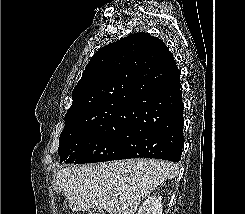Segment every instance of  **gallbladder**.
Masks as SVG:
<instances>
[{
	"mask_svg": "<svg viewBox=\"0 0 245 214\" xmlns=\"http://www.w3.org/2000/svg\"><path fill=\"white\" fill-rule=\"evenodd\" d=\"M89 214H106V211L103 209H93Z\"/></svg>",
	"mask_w": 245,
	"mask_h": 214,
	"instance_id": "bac80fb5",
	"label": "gallbladder"
}]
</instances>
